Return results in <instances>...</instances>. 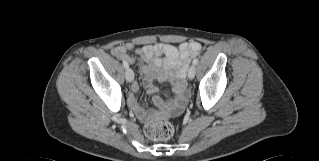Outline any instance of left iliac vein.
I'll use <instances>...</instances> for the list:
<instances>
[{
	"instance_id": "obj_1",
	"label": "left iliac vein",
	"mask_w": 319,
	"mask_h": 161,
	"mask_svg": "<svg viewBox=\"0 0 319 161\" xmlns=\"http://www.w3.org/2000/svg\"><path fill=\"white\" fill-rule=\"evenodd\" d=\"M195 72H196L195 65H191L188 70V78L192 80L195 76Z\"/></svg>"
}]
</instances>
